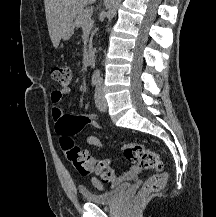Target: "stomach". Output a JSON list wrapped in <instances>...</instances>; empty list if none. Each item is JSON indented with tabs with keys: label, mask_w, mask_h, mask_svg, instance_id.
<instances>
[{
	"label": "stomach",
	"mask_w": 216,
	"mask_h": 217,
	"mask_svg": "<svg viewBox=\"0 0 216 217\" xmlns=\"http://www.w3.org/2000/svg\"><path fill=\"white\" fill-rule=\"evenodd\" d=\"M74 27H75L74 24H72L71 26H69L66 29V31L64 33V36H63V39L67 40V39H69L73 35V33H74Z\"/></svg>",
	"instance_id": "obj_1"
}]
</instances>
